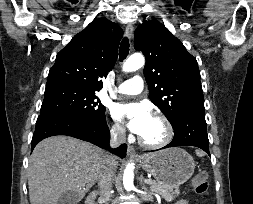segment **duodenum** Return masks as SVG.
Listing matches in <instances>:
<instances>
[{
	"mask_svg": "<svg viewBox=\"0 0 253 204\" xmlns=\"http://www.w3.org/2000/svg\"><path fill=\"white\" fill-rule=\"evenodd\" d=\"M97 194L95 192L89 194L85 204H96Z\"/></svg>",
	"mask_w": 253,
	"mask_h": 204,
	"instance_id": "410a0bca",
	"label": "duodenum"
}]
</instances>
